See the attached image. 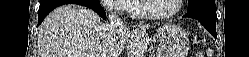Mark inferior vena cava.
Segmentation results:
<instances>
[{
	"instance_id": "obj_1",
	"label": "inferior vena cava",
	"mask_w": 249,
	"mask_h": 57,
	"mask_svg": "<svg viewBox=\"0 0 249 57\" xmlns=\"http://www.w3.org/2000/svg\"><path fill=\"white\" fill-rule=\"evenodd\" d=\"M109 21L111 27H117L123 25V21L115 14L111 13L109 14Z\"/></svg>"
}]
</instances>
